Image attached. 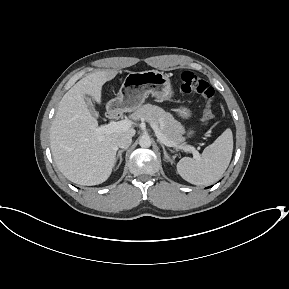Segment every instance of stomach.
<instances>
[{"instance_id": "stomach-1", "label": "stomach", "mask_w": 289, "mask_h": 289, "mask_svg": "<svg viewBox=\"0 0 289 289\" xmlns=\"http://www.w3.org/2000/svg\"><path fill=\"white\" fill-rule=\"evenodd\" d=\"M150 94L159 102L170 101L174 92L169 76L157 70L131 72L124 79L118 96L110 100L108 106L119 111H133L140 107ZM175 111L184 119L192 116L186 107ZM187 134L192 137L195 131L190 129Z\"/></svg>"}]
</instances>
